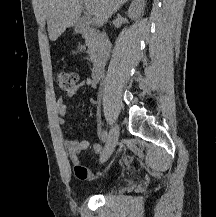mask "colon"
<instances>
[{
	"mask_svg": "<svg viewBox=\"0 0 216 217\" xmlns=\"http://www.w3.org/2000/svg\"><path fill=\"white\" fill-rule=\"evenodd\" d=\"M79 80V75L75 71L60 70L56 73V81L59 86L66 91L74 89Z\"/></svg>",
	"mask_w": 216,
	"mask_h": 217,
	"instance_id": "colon-1",
	"label": "colon"
}]
</instances>
